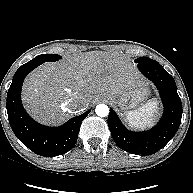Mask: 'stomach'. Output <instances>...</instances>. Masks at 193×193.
<instances>
[{"mask_svg": "<svg viewBox=\"0 0 193 193\" xmlns=\"http://www.w3.org/2000/svg\"><path fill=\"white\" fill-rule=\"evenodd\" d=\"M148 95V88L143 83H138L127 91L120 93L107 92L103 97L118 105L122 110H131L143 103Z\"/></svg>", "mask_w": 193, "mask_h": 193, "instance_id": "stomach-1", "label": "stomach"}]
</instances>
